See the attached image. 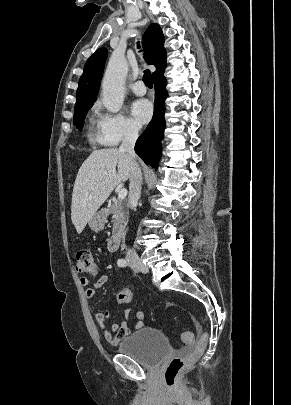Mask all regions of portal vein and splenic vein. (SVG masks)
<instances>
[{"mask_svg": "<svg viewBox=\"0 0 291 405\" xmlns=\"http://www.w3.org/2000/svg\"><path fill=\"white\" fill-rule=\"evenodd\" d=\"M127 196V190L122 188L118 193V199L123 200Z\"/></svg>", "mask_w": 291, "mask_h": 405, "instance_id": "1", "label": "portal vein and splenic vein"}]
</instances>
